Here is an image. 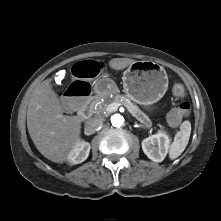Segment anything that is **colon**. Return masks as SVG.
Masks as SVG:
<instances>
[{
    "instance_id": "obj_1",
    "label": "colon",
    "mask_w": 221,
    "mask_h": 221,
    "mask_svg": "<svg viewBox=\"0 0 221 221\" xmlns=\"http://www.w3.org/2000/svg\"><path fill=\"white\" fill-rule=\"evenodd\" d=\"M71 72L76 77L68 90L60 97L59 106L67 114H74L85 109L89 104V97L95 90V82L104 74V67L98 61L77 59L71 65ZM173 93L178 97L185 95V88L181 83L173 85ZM191 106L184 102L172 110L168 116L170 124L177 125L190 114Z\"/></svg>"
}]
</instances>
